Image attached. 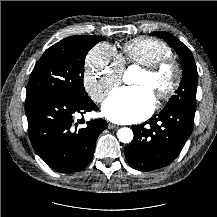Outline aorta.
Wrapping results in <instances>:
<instances>
[{
  "label": "aorta",
  "instance_id": "obj_1",
  "mask_svg": "<svg viewBox=\"0 0 217 217\" xmlns=\"http://www.w3.org/2000/svg\"><path fill=\"white\" fill-rule=\"evenodd\" d=\"M132 75H133V66L129 67L127 71H125L123 80L125 83H132ZM117 137L122 143H130L133 140V131L130 128L123 127L118 130Z\"/></svg>",
  "mask_w": 217,
  "mask_h": 217
}]
</instances>
